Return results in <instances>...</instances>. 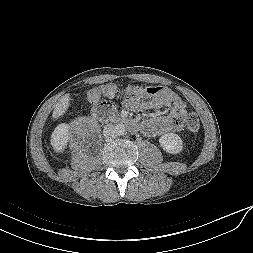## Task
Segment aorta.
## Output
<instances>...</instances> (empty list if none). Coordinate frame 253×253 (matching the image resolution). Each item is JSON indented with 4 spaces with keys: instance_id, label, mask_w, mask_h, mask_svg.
I'll return each instance as SVG.
<instances>
[{
    "instance_id": "762f6f07",
    "label": "aorta",
    "mask_w": 253,
    "mask_h": 253,
    "mask_svg": "<svg viewBox=\"0 0 253 253\" xmlns=\"http://www.w3.org/2000/svg\"><path fill=\"white\" fill-rule=\"evenodd\" d=\"M114 131L116 136H123L126 132V127L124 124H117L114 126Z\"/></svg>"
}]
</instances>
